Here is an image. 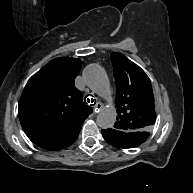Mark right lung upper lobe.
<instances>
[{
	"label": "right lung upper lobe",
	"instance_id": "1",
	"mask_svg": "<svg viewBox=\"0 0 193 193\" xmlns=\"http://www.w3.org/2000/svg\"><path fill=\"white\" fill-rule=\"evenodd\" d=\"M81 65L80 59H53L24 88L19 119L26 135L41 148L60 150L71 145L93 111L74 86Z\"/></svg>",
	"mask_w": 193,
	"mask_h": 193
}]
</instances>
